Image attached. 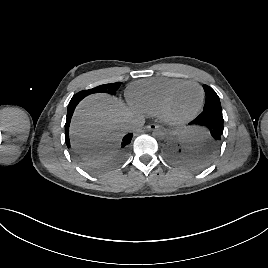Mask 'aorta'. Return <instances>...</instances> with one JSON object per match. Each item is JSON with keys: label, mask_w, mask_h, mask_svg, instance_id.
<instances>
[{"label": "aorta", "mask_w": 268, "mask_h": 268, "mask_svg": "<svg viewBox=\"0 0 268 268\" xmlns=\"http://www.w3.org/2000/svg\"><path fill=\"white\" fill-rule=\"evenodd\" d=\"M152 136L157 140H162L166 137V132L162 128H157L152 132Z\"/></svg>", "instance_id": "762f6f07"}]
</instances>
